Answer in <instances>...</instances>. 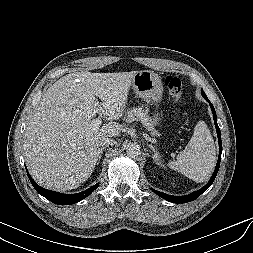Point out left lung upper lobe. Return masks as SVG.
Listing matches in <instances>:
<instances>
[{
  "mask_svg": "<svg viewBox=\"0 0 253 253\" xmlns=\"http://www.w3.org/2000/svg\"><path fill=\"white\" fill-rule=\"evenodd\" d=\"M201 94H202V96H203L204 98H207V96H206V94L204 93L203 90H201Z\"/></svg>",
  "mask_w": 253,
  "mask_h": 253,
  "instance_id": "obj_1",
  "label": "left lung upper lobe"
}]
</instances>
